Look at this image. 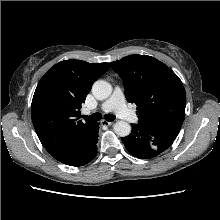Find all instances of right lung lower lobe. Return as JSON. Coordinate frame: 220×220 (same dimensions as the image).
Here are the masks:
<instances>
[{"label": "right lung lower lobe", "mask_w": 220, "mask_h": 220, "mask_svg": "<svg viewBox=\"0 0 220 220\" xmlns=\"http://www.w3.org/2000/svg\"><path fill=\"white\" fill-rule=\"evenodd\" d=\"M99 124L86 134L65 156L58 161L70 166H83L97 155Z\"/></svg>", "instance_id": "1"}]
</instances>
